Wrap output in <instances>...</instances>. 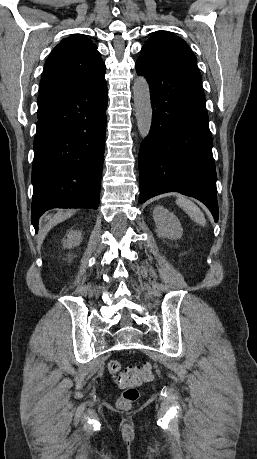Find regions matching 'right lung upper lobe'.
<instances>
[{
  "instance_id": "obj_1",
  "label": "right lung upper lobe",
  "mask_w": 257,
  "mask_h": 459,
  "mask_svg": "<svg viewBox=\"0 0 257 459\" xmlns=\"http://www.w3.org/2000/svg\"><path fill=\"white\" fill-rule=\"evenodd\" d=\"M105 74L97 47L87 37L74 34L62 40L49 55L39 87V96L81 87Z\"/></svg>"
}]
</instances>
